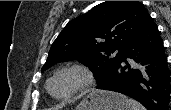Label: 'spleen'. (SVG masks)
<instances>
[{"mask_svg":"<svg viewBox=\"0 0 171 110\" xmlns=\"http://www.w3.org/2000/svg\"><path fill=\"white\" fill-rule=\"evenodd\" d=\"M126 110H145V108L133 99H126Z\"/></svg>","mask_w":171,"mask_h":110,"instance_id":"1","label":"spleen"}]
</instances>
